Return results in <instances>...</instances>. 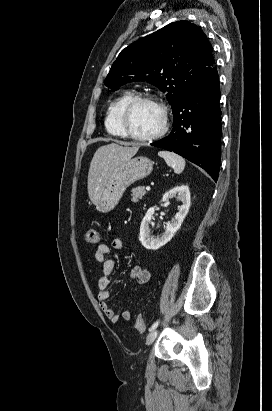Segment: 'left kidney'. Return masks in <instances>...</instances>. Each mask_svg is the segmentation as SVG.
<instances>
[{"instance_id":"obj_1","label":"left kidney","mask_w":272,"mask_h":411,"mask_svg":"<svg viewBox=\"0 0 272 411\" xmlns=\"http://www.w3.org/2000/svg\"><path fill=\"white\" fill-rule=\"evenodd\" d=\"M177 198L183 204L179 208V212L175 215V219L168 223L165 232L161 236L153 238L149 223L155 212V207H151L146 212L140 226L139 240L146 249L157 250L168 243L175 233L180 229L183 220L185 219L190 207V191L187 185L177 186L166 192L162 201L167 202L169 199Z\"/></svg>"}]
</instances>
